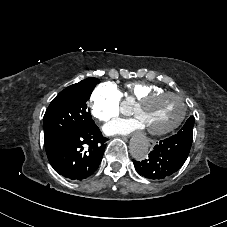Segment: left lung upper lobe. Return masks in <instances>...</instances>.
Listing matches in <instances>:
<instances>
[{
	"instance_id": "5c2ea615",
	"label": "left lung upper lobe",
	"mask_w": 227,
	"mask_h": 227,
	"mask_svg": "<svg viewBox=\"0 0 227 227\" xmlns=\"http://www.w3.org/2000/svg\"><path fill=\"white\" fill-rule=\"evenodd\" d=\"M194 117L191 116L184 124V126L178 131L176 135L192 137L193 136V126H194Z\"/></svg>"
}]
</instances>
